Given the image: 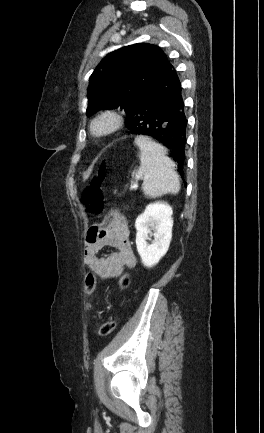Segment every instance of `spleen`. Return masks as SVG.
Listing matches in <instances>:
<instances>
[{
  "mask_svg": "<svg viewBox=\"0 0 264 433\" xmlns=\"http://www.w3.org/2000/svg\"><path fill=\"white\" fill-rule=\"evenodd\" d=\"M135 143L140 149L139 172L144 175V194L153 198L169 193L176 195L180 190L179 177L165 148L145 136H137Z\"/></svg>",
  "mask_w": 264,
  "mask_h": 433,
  "instance_id": "3e777b00",
  "label": "spleen"
}]
</instances>
